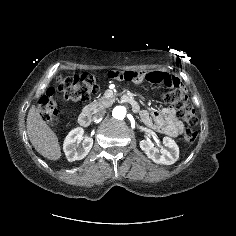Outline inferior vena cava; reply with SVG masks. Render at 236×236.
Wrapping results in <instances>:
<instances>
[{
	"label": "inferior vena cava",
	"instance_id": "obj_1",
	"mask_svg": "<svg viewBox=\"0 0 236 236\" xmlns=\"http://www.w3.org/2000/svg\"><path fill=\"white\" fill-rule=\"evenodd\" d=\"M104 115V112L101 111L93 116V121H97L99 118H101Z\"/></svg>",
	"mask_w": 236,
	"mask_h": 236
}]
</instances>
